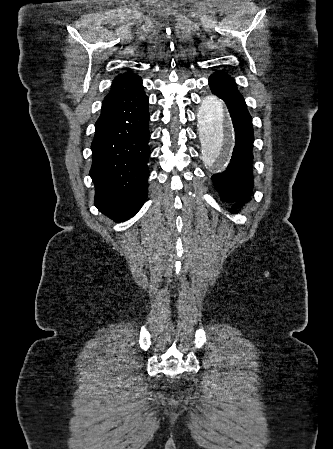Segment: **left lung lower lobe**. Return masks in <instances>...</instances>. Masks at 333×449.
<instances>
[{
	"label": "left lung lower lobe",
	"mask_w": 333,
	"mask_h": 449,
	"mask_svg": "<svg viewBox=\"0 0 333 449\" xmlns=\"http://www.w3.org/2000/svg\"><path fill=\"white\" fill-rule=\"evenodd\" d=\"M211 91L227 105L235 131V146L230 163L223 173L214 174L212 180L225 200L236 201V207L250 200L253 186L252 147L254 141L252 118L244 98L234 80L226 73L216 72L209 78Z\"/></svg>",
	"instance_id": "obj_1"
}]
</instances>
